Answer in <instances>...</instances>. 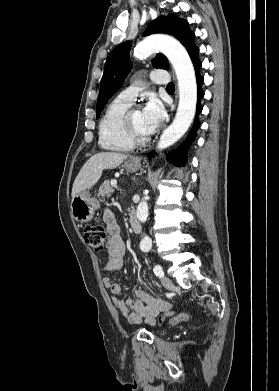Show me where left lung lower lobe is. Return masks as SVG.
Segmentation results:
<instances>
[{
  "label": "left lung lower lobe",
  "mask_w": 279,
  "mask_h": 391,
  "mask_svg": "<svg viewBox=\"0 0 279 391\" xmlns=\"http://www.w3.org/2000/svg\"><path fill=\"white\" fill-rule=\"evenodd\" d=\"M199 49L196 48L194 52L190 55L195 72H196V79H197V87H198V99H197V109H196V117L193 124V127L188 134L186 140L178 147L175 151L168 153L167 159L178 166H184L186 162V156H187V150L189 148V144L195 139L196 136V129L200 126V123L198 121V115L202 111V107L200 105V100L204 96V92L202 90V83H203V77L200 75L199 70L201 68V61L198 58ZM154 152H150L148 154V157L154 156Z\"/></svg>",
  "instance_id": "0a47b994"
}]
</instances>
